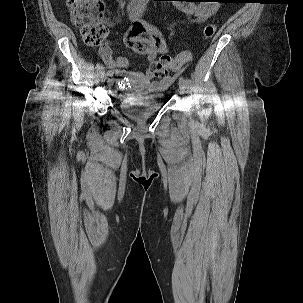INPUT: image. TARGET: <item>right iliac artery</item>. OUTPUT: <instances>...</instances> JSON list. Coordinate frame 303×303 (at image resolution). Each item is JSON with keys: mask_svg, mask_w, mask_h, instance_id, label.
Returning a JSON list of instances; mask_svg holds the SVG:
<instances>
[{"mask_svg": "<svg viewBox=\"0 0 303 303\" xmlns=\"http://www.w3.org/2000/svg\"><path fill=\"white\" fill-rule=\"evenodd\" d=\"M113 75V71L112 70H108L106 73V76H112Z\"/></svg>", "mask_w": 303, "mask_h": 303, "instance_id": "right-iliac-artery-1", "label": "right iliac artery"}]
</instances>
